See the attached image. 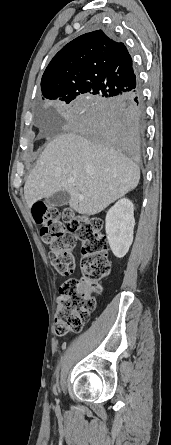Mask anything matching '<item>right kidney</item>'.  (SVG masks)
<instances>
[{
  "instance_id": "ca27d5eb",
  "label": "right kidney",
  "mask_w": 171,
  "mask_h": 445,
  "mask_svg": "<svg viewBox=\"0 0 171 445\" xmlns=\"http://www.w3.org/2000/svg\"><path fill=\"white\" fill-rule=\"evenodd\" d=\"M134 205L127 198L118 200L106 215L105 230L108 243L117 258L126 255L133 241Z\"/></svg>"
}]
</instances>
